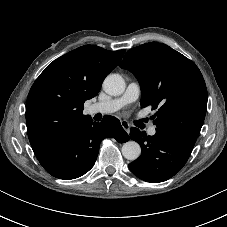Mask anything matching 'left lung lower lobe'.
Instances as JSON below:
<instances>
[{
	"label": "left lung lower lobe",
	"instance_id": "1",
	"mask_svg": "<svg viewBox=\"0 0 227 227\" xmlns=\"http://www.w3.org/2000/svg\"><path fill=\"white\" fill-rule=\"evenodd\" d=\"M130 138L140 144L142 154L129 164V169L140 179L151 183L166 181L178 173L193 149L166 131L156 130L154 136H147L144 131L132 127Z\"/></svg>",
	"mask_w": 227,
	"mask_h": 227
}]
</instances>
